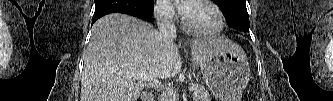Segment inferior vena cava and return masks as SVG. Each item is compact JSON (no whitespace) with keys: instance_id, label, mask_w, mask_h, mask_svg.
Masks as SVG:
<instances>
[{"instance_id":"inferior-vena-cava-1","label":"inferior vena cava","mask_w":333,"mask_h":101,"mask_svg":"<svg viewBox=\"0 0 333 101\" xmlns=\"http://www.w3.org/2000/svg\"><path fill=\"white\" fill-rule=\"evenodd\" d=\"M157 25L163 45L165 47L170 46L173 43V39L176 38V26L172 18L168 15L160 14Z\"/></svg>"}]
</instances>
